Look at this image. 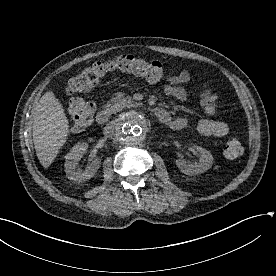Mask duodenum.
<instances>
[{"label": "duodenum", "instance_id": "obj_1", "mask_svg": "<svg viewBox=\"0 0 276 276\" xmlns=\"http://www.w3.org/2000/svg\"><path fill=\"white\" fill-rule=\"evenodd\" d=\"M152 111H153V114L157 117V119L162 123L166 122L169 118L168 113L164 109L154 108ZM110 118H111V112L109 109H105V108L99 110L96 115V120L101 125L108 123Z\"/></svg>", "mask_w": 276, "mask_h": 276}]
</instances>
